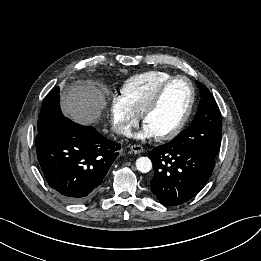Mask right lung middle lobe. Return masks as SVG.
Instances as JSON below:
<instances>
[{
	"instance_id": "obj_1",
	"label": "right lung middle lobe",
	"mask_w": 261,
	"mask_h": 261,
	"mask_svg": "<svg viewBox=\"0 0 261 261\" xmlns=\"http://www.w3.org/2000/svg\"><path fill=\"white\" fill-rule=\"evenodd\" d=\"M63 117L59 104V88L55 87L43 101L37 123L38 133H44Z\"/></svg>"
}]
</instances>
